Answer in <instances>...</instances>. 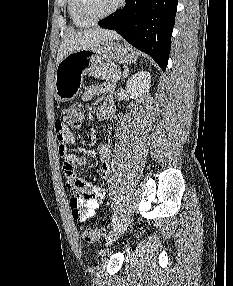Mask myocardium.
Here are the masks:
<instances>
[{
	"label": "myocardium",
	"instance_id": "myocardium-1",
	"mask_svg": "<svg viewBox=\"0 0 233 286\" xmlns=\"http://www.w3.org/2000/svg\"><path fill=\"white\" fill-rule=\"evenodd\" d=\"M124 3H125V0H118L116 2V4L111 9H109L108 11H106L105 13H103L101 15L93 17V16H90L86 11L85 0H77V11H78L79 16L83 20H85L86 22L91 24V23L98 22L100 20H103V19L111 16L116 11H118L124 5Z\"/></svg>",
	"mask_w": 233,
	"mask_h": 286
}]
</instances>
